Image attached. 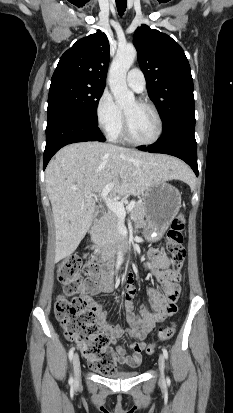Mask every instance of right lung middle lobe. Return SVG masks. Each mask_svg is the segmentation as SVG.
<instances>
[{"instance_id": "right-lung-middle-lobe-1", "label": "right lung middle lobe", "mask_w": 233, "mask_h": 413, "mask_svg": "<svg viewBox=\"0 0 233 413\" xmlns=\"http://www.w3.org/2000/svg\"><path fill=\"white\" fill-rule=\"evenodd\" d=\"M103 89L104 86L72 80L51 83L47 116L66 112L98 125L97 105Z\"/></svg>"}]
</instances>
